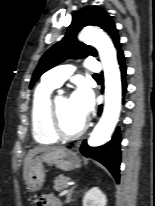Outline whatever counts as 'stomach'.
Returning a JSON list of instances; mask_svg holds the SVG:
<instances>
[{"label": "stomach", "mask_w": 155, "mask_h": 206, "mask_svg": "<svg viewBox=\"0 0 155 206\" xmlns=\"http://www.w3.org/2000/svg\"><path fill=\"white\" fill-rule=\"evenodd\" d=\"M43 162L53 164L64 171H70L81 166L78 155L66 148L47 151L35 156L31 161L25 179L27 188L32 192L40 190L43 185L45 178Z\"/></svg>", "instance_id": "obj_1"}]
</instances>
